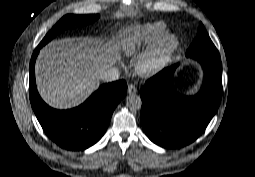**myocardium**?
Here are the masks:
<instances>
[{"label":"myocardium","instance_id":"1","mask_svg":"<svg viewBox=\"0 0 255 177\" xmlns=\"http://www.w3.org/2000/svg\"><path fill=\"white\" fill-rule=\"evenodd\" d=\"M178 48L172 34H165L155 41L137 60L135 71L140 77H151L159 73L170 61Z\"/></svg>","mask_w":255,"mask_h":177}]
</instances>
